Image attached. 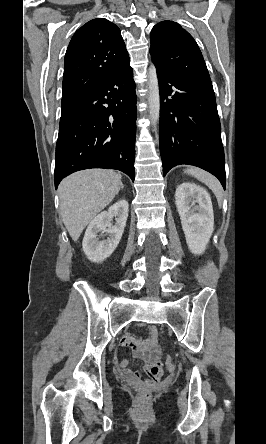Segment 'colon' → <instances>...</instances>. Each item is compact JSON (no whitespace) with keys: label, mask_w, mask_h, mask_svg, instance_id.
Wrapping results in <instances>:
<instances>
[{"label":"colon","mask_w":266,"mask_h":444,"mask_svg":"<svg viewBox=\"0 0 266 444\" xmlns=\"http://www.w3.org/2000/svg\"><path fill=\"white\" fill-rule=\"evenodd\" d=\"M165 364L168 370H173L175 368L173 359L170 356L165 358ZM151 394L147 390H143L138 394V403L141 405L146 404L150 400Z\"/></svg>","instance_id":"colon-1"}]
</instances>
